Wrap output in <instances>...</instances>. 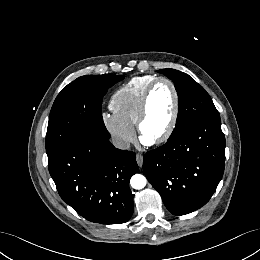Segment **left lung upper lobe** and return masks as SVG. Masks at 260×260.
Masks as SVG:
<instances>
[{"instance_id":"1","label":"left lung upper lobe","mask_w":260,"mask_h":260,"mask_svg":"<svg viewBox=\"0 0 260 260\" xmlns=\"http://www.w3.org/2000/svg\"><path fill=\"white\" fill-rule=\"evenodd\" d=\"M173 80L179 96V112L170 139L175 138L183 129L197 120L219 117L209 94L189 75L174 69L158 71Z\"/></svg>"}]
</instances>
